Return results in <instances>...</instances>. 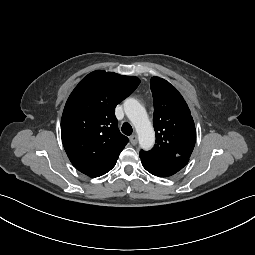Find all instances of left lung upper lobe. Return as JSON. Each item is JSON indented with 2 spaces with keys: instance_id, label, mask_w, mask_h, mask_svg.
I'll use <instances>...</instances> for the list:
<instances>
[{
  "instance_id": "5c2ea615",
  "label": "left lung upper lobe",
  "mask_w": 255,
  "mask_h": 255,
  "mask_svg": "<svg viewBox=\"0 0 255 255\" xmlns=\"http://www.w3.org/2000/svg\"><path fill=\"white\" fill-rule=\"evenodd\" d=\"M154 100L153 124L156 144L140 153L157 162L189 158L196 141V129L188 105L181 94L166 80L152 77Z\"/></svg>"
}]
</instances>
